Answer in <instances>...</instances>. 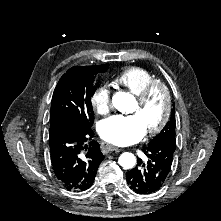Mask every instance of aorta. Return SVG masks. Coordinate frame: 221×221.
<instances>
[{
  "label": "aorta",
  "mask_w": 221,
  "mask_h": 221,
  "mask_svg": "<svg viewBox=\"0 0 221 221\" xmlns=\"http://www.w3.org/2000/svg\"><path fill=\"white\" fill-rule=\"evenodd\" d=\"M113 106L121 111L127 112L134 103V97L126 92H117L112 99ZM118 163L124 169H132L136 164V158L132 153H122L118 159Z\"/></svg>",
  "instance_id": "aorta-1"
}]
</instances>
